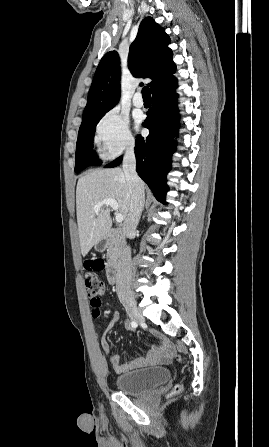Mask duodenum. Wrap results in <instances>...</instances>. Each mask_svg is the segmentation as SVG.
<instances>
[{
  "label": "duodenum",
  "instance_id": "duodenum-1",
  "mask_svg": "<svg viewBox=\"0 0 269 447\" xmlns=\"http://www.w3.org/2000/svg\"><path fill=\"white\" fill-rule=\"evenodd\" d=\"M105 238L107 240H113L117 243H121L123 240V232L119 228H112L107 231ZM107 279L108 282L111 284H114L117 282L118 277V266L116 263H111L107 267Z\"/></svg>",
  "mask_w": 269,
  "mask_h": 447
}]
</instances>
